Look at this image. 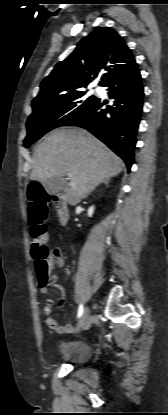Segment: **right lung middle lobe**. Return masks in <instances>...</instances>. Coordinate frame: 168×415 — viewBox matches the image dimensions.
Returning <instances> with one entry per match:
<instances>
[{
	"instance_id": "1",
	"label": "right lung middle lobe",
	"mask_w": 168,
	"mask_h": 415,
	"mask_svg": "<svg viewBox=\"0 0 168 415\" xmlns=\"http://www.w3.org/2000/svg\"><path fill=\"white\" fill-rule=\"evenodd\" d=\"M98 99L81 90L34 106L33 113L27 120L28 133L24 146L28 148L50 130L65 126L90 109Z\"/></svg>"
}]
</instances>
